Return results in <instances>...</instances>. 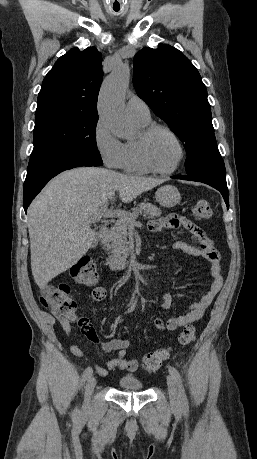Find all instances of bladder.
Here are the masks:
<instances>
[{
	"mask_svg": "<svg viewBox=\"0 0 257 459\" xmlns=\"http://www.w3.org/2000/svg\"><path fill=\"white\" fill-rule=\"evenodd\" d=\"M118 387L122 391L140 392L144 390V384L139 379L130 375H123L118 379Z\"/></svg>",
	"mask_w": 257,
	"mask_h": 459,
	"instance_id": "obj_1",
	"label": "bladder"
}]
</instances>
